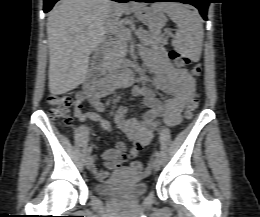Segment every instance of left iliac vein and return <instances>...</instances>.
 I'll use <instances>...</instances> for the list:
<instances>
[{"label":"left iliac vein","instance_id":"obj_1","mask_svg":"<svg viewBox=\"0 0 260 217\" xmlns=\"http://www.w3.org/2000/svg\"><path fill=\"white\" fill-rule=\"evenodd\" d=\"M151 168L154 171H158L160 169V160L158 158H153L151 161Z\"/></svg>","mask_w":260,"mask_h":217}]
</instances>
